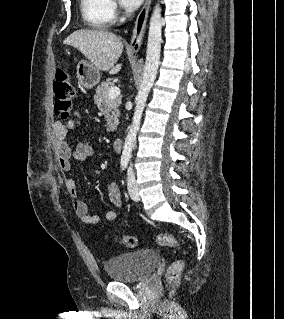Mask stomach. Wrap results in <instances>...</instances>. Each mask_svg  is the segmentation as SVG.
Returning <instances> with one entry per match:
<instances>
[{
    "mask_svg": "<svg viewBox=\"0 0 284 319\" xmlns=\"http://www.w3.org/2000/svg\"><path fill=\"white\" fill-rule=\"evenodd\" d=\"M77 78L82 87L91 89L99 82L100 72L91 63L81 60L77 64Z\"/></svg>",
    "mask_w": 284,
    "mask_h": 319,
    "instance_id": "obj_1",
    "label": "stomach"
}]
</instances>
